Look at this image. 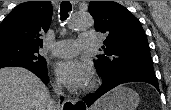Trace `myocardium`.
<instances>
[{
    "label": "myocardium",
    "mask_w": 171,
    "mask_h": 110,
    "mask_svg": "<svg viewBox=\"0 0 171 110\" xmlns=\"http://www.w3.org/2000/svg\"><path fill=\"white\" fill-rule=\"evenodd\" d=\"M94 87H95V83H94V82H91V83L89 84L88 90H91V89H93Z\"/></svg>",
    "instance_id": "myocardium-1"
}]
</instances>
